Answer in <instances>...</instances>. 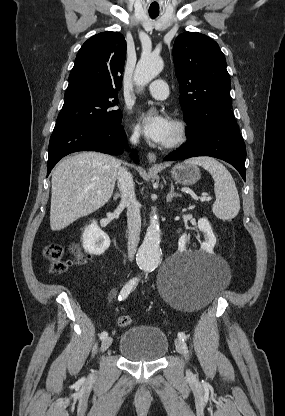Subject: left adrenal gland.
Returning <instances> with one entry per match:
<instances>
[{
  "label": "left adrenal gland",
  "instance_id": "1",
  "mask_svg": "<svg viewBox=\"0 0 285 416\" xmlns=\"http://www.w3.org/2000/svg\"><path fill=\"white\" fill-rule=\"evenodd\" d=\"M178 196H181V194H175L173 182H171V190L166 198L167 202H172V198H178Z\"/></svg>",
  "mask_w": 285,
  "mask_h": 416
}]
</instances>
